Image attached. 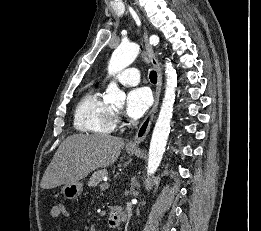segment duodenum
<instances>
[{
  "mask_svg": "<svg viewBox=\"0 0 261 231\" xmlns=\"http://www.w3.org/2000/svg\"><path fill=\"white\" fill-rule=\"evenodd\" d=\"M126 217L125 211L121 205H115L109 212V224L112 227L119 225Z\"/></svg>",
  "mask_w": 261,
  "mask_h": 231,
  "instance_id": "1",
  "label": "duodenum"
}]
</instances>
